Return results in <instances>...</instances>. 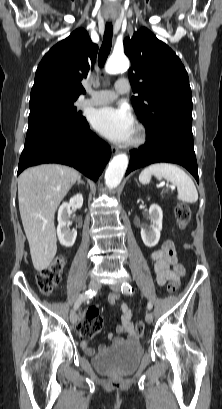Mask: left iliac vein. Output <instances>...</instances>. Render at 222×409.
I'll use <instances>...</instances> for the list:
<instances>
[{"label":"left iliac vein","instance_id":"4c4485c4","mask_svg":"<svg viewBox=\"0 0 222 409\" xmlns=\"http://www.w3.org/2000/svg\"><path fill=\"white\" fill-rule=\"evenodd\" d=\"M110 288L114 292L119 293L121 291V284H120V282H115V283L110 285ZM145 320H146L147 323H151L153 321V314L151 312L146 313Z\"/></svg>","mask_w":222,"mask_h":409}]
</instances>
